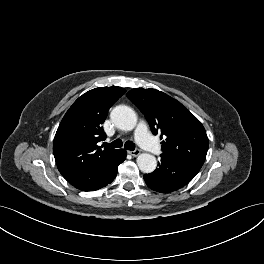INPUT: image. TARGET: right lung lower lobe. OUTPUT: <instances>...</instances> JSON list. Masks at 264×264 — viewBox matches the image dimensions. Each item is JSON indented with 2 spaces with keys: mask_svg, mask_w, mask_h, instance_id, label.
<instances>
[{
  "mask_svg": "<svg viewBox=\"0 0 264 264\" xmlns=\"http://www.w3.org/2000/svg\"><path fill=\"white\" fill-rule=\"evenodd\" d=\"M125 158L126 151L124 149L116 150L115 153L111 154L97 165L67 181L82 191L100 189L114 180L118 172V166Z\"/></svg>",
  "mask_w": 264,
  "mask_h": 264,
  "instance_id": "98d812e1",
  "label": "right lung lower lobe"
}]
</instances>
